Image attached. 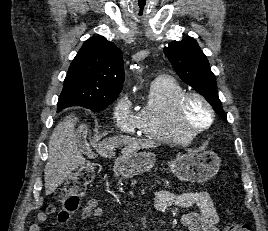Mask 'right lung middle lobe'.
<instances>
[{
  "mask_svg": "<svg viewBox=\"0 0 268 231\" xmlns=\"http://www.w3.org/2000/svg\"><path fill=\"white\" fill-rule=\"evenodd\" d=\"M115 99H111V100H105L102 102H98V103H74V104H68V103H58V109L57 112L61 111L62 109L69 107V106H82L85 107L87 109H90L92 111H101L105 108L108 107V105H110L111 103H113Z\"/></svg>",
  "mask_w": 268,
  "mask_h": 231,
  "instance_id": "dd1d6c3e",
  "label": "right lung middle lobe"
}]
</instances>
